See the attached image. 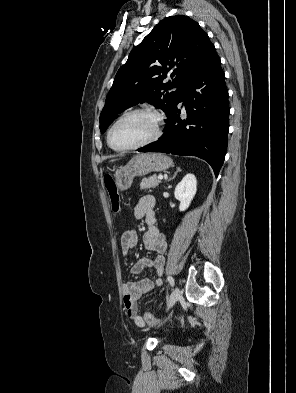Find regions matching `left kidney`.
Wrapping results in <instances>:
<instances>
[{"mask_svg":"<svg viewBox=\"0 0 296 393\" xmlns=\"http://www.w3.org/2000/svg\"><path fill=\"white\" fill-rule=\"evenodd\" d=\"M197 191V180L194 174H187L175 188V198L180 201L179 210L185 211Z\"/></svg>","mask_w":296,"mask_h":393,"instance_id":"5707ae66","label":"left kidney"}]
</instances>
